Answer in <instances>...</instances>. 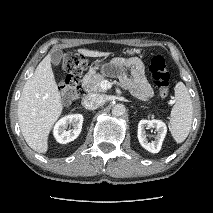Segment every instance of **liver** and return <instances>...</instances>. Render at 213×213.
Wrapping results in <instances>:
<instances>
[{
  "instance_id": "6515ba94",
  "label": "liver",
  "mask_w": 213,
  "mask_h": 213,
  "mask_svg": "<svg viewBox=\"0 0 213 213\" xmlns=\"http://www.w3.org/2000/svg\"><path fill=\"white\" fill-rule=\"evenodd\" d=\"M87 57H101L108 53L78 49ZM63 111L62 97L51 68L50 54L37 66L22 90L18 102V120L22 135L34 151L46 153L48 136Z\"/></svg>"
}]
</instances>
